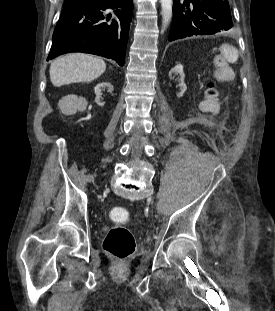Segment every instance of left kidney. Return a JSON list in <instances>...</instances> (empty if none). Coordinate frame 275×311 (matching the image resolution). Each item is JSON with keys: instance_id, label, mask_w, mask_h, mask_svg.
<instances>
[{"instance_id": "left-kidney-1", "label": "left kidney", "mask_w": 275, "mask_h": 311, "mask_svg": "<svg viewBox=\"0 0 275 311\" xmlns=\"http://www.w3.org/2000/svg\"><path fill=\"white\" fill-rule=\"evenodd\" d=\"M180 75V77L178 76ZM169 80H173L174 84L173 87L174 89H180V92L178 94V97H182L186 91V85L184 83V72H183V67L181 65H177L174 68L171 69L169 73Z\"/></svg>"}]
</instances>
